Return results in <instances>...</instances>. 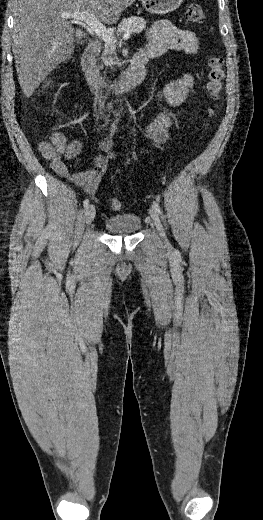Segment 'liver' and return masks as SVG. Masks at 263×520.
Returning <instances> with one entry per match:
<instances>
[{"label": "liver", "instance_id": "1", "mask_svg": "<svg viewBox=\"0 0 263 520\" xmlns=\"http://www.w3.org/2000/svg\"><path fill=\"white\" fill-rule=\"evenodd\" d=\"M135 0H18L14 8L13 53L18 81L30 97L48 74L75 49V33L63 13L87 12L116 23Z\"/></svg>", "mask_w": 263, "mask_h": 520}]
</instances>
